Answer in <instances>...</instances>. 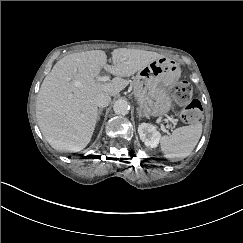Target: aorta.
Masks as SVG:
<instances>
[{
	"label": "aorta",
	"instance_id": "aorta-1",
	"mask_svg": "<svg viewBox=\"0 0 243 243\" xmlns=\"http://www.w3.org/2000/svg\"><path fill=\"white\" fill-rule=\"evenodd\" d=\"M114 112L119 116H126L130 112V105L125 100H117L113 106Z\"/></svg>",
	"mask_w": 243,
	"mask_h": 243
}]
</instances>
